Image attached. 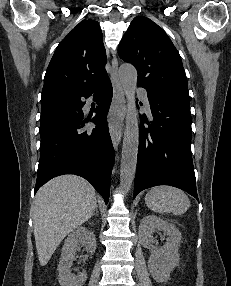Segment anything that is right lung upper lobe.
Instances as JSON below:
<instances>
[{
    "mask_svg": "<svg viewBox=\"0 0 231 286\" xmlns=\"http://www.w3.org/2000/svg\"><path fill=\"white\" fill-rule=\"evenodd\" d=\"M106 50L95 20L81 21L58 45L47 68L42 109L65 105L109 80Z\"/></svg>",
    "mask_w": 231,
    "mask_h": 286,
    "instance_id": "right-lung-upper-lobe-1",
    "label": "right lung upper lobe"
}]
</instances>
